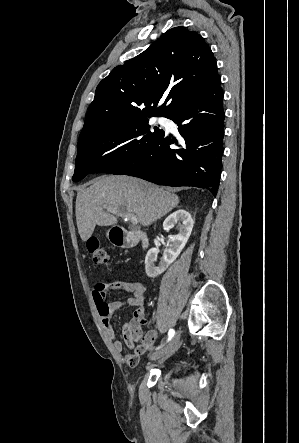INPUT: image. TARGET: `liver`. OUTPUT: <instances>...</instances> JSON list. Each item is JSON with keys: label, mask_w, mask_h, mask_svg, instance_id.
<instances>
[{"label": "liver", "mask_w": 299, "mask_h": 443, "mask_svg": "<svg viewBox=\"0 0 299 443\" xmlns=\"http://www.w3.org/2000/svg\"><path fill=\"white\" fill-rule=\"evenodd\" d=\"M89 184L76 198L77 228L84 242L92 236L96 225L116 224L119 213L134 214L142 226H149L179 203L176 194L138 178L103 175Z\"/></svg>", "instance_id": "obj_1"}]
</instances>
